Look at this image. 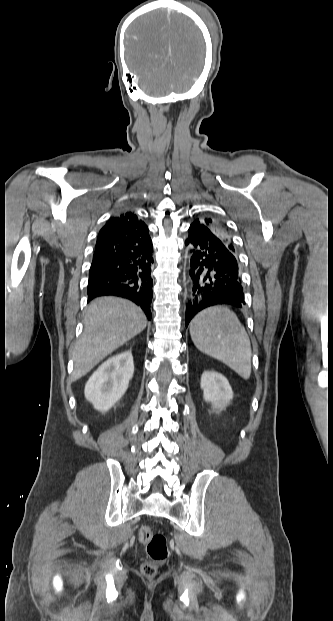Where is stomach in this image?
<instances>
[{
	"label": "stomach",
	"mask_w": 333,
	"mask_h": 621,
	"mask_svg": "<svg viewBox=\"0 0 333 621\" xmlns=\"http://www.w3.org/2000/svg\"><path fill=\"white\" fill-rule=\"evenodd\" d=\"M217 308L220 310L221 315H224V314L232 315L233 314V312H231L230 310L224 307H217Z\"/></svg>",
	"instance_id": "0dacf381"
}]
</instances>
